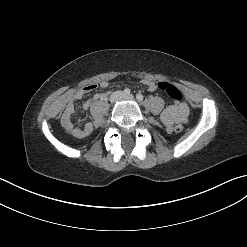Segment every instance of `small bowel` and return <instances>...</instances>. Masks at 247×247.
<instances>
[{
  "label": "small bowel",
  "mask_w": 247,
  "mask_h": 247,
  "mask_svg": "<svg viewBox=\"0 0 247 247\" xmlns=\"http://www.w3.org/2000/svg\"><path fill=\"white\" fill-rule=\"evenodd\" d=\"M142 84H144L150 92H153L158 88L156 83L152 80H143ZM98 86L101 88H107L108 82L101 81L99 84H89L84 88L76 90L71 96V99L62 114L61 123L63 127L66 130H68L74 137L83 138L88 136L92 131L91 124H87L84 129H78L73 127V124L71 122V117L74 112V102L81 100L87 92L96 89ZM105 96L106 95L104 93L94 94L92 98H90L88 101H86L83 104V110L84 111L88 110V108L91 106L93 102L100 100ZM188 113H189V108L186 103L175 102L165 108V110L161 114V119L164 125L167 127V129L171 130L175 122H180V123L186 122Z\"/></svg>",
  "instance_id": "c3829d8e"
}]
</instances>
